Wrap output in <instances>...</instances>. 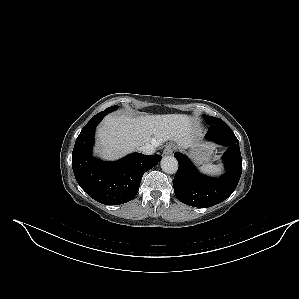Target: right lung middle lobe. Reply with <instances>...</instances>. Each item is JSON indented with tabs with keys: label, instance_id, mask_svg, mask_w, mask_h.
Masks as SVG:
<instances>
[{
	"label": "right lung middle lobe",
	"instance_id": "1",
	"mask_svg": "<svg viewBox=\"0 0 299 299\" xmlns=\"http://www.w3.org/2000/svg\"><path fill=\"white\" fill-rule=\"evenodd\" d=\"M118 107H119V106H113V107H109V108H107V109H109V110H111V111H114V110H116Z\"/></svg>",
	"mask_w": 299,
	"mask_h": 299
}]
</instances>
